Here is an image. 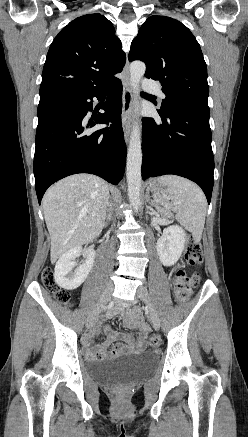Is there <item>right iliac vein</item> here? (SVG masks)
<instances>
[{
    "instance_id": "63e3f726",
    "label": "right iliac vein",
    "mask_w": 248,
    "mask_h": 437,
    "mask_svg": "<svg viewBox=\"0 0 248 437\" xmlns=\"http://www.w3.org/2000/svg\"><path fill=\"white\" fill-rule=\"evenodd\" d=\"M112 291H113V284L111 282H109L106 285V287L104 288V291H103L96 307L90 312V314L88 316V319L86 322V326L88 328H91L94 325L100 309L102 307H104L105 304L109 301Z\"/></svg>"
}]
</instances>
